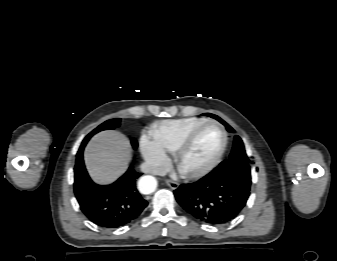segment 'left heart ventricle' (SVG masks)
<instances>
[{
	"label": "left heart ventricle",
	"mask_w": 337,
	"mask_h": 261,
	"mask_svg": "<svg viewBox=\"0 0 337 261\" xmlns=\"http://www.w3.org/2000/svg\"><path fill=\"white\" fill-rule=\"evenodd\" d=\"M222 139V133L218 127L213 125L205 127L184 156L182 168L193 171L205 166L219 151Z\"/></svg>",
	"instance_id": "obj_1"
}]
</instances>
